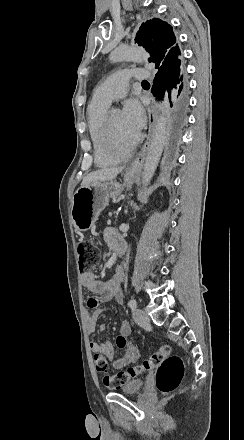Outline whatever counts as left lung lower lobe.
I'll use <instances>...</instances> for the list:
<instances>
[{"label": "left lung lower lobe", "instance_id": "1", "mask_svg": "<svg viewBox=\"0 0 244 440\" xmlns=\"http://www.w3.org/2000/svg\"><path fill=\"white\" fill-rule=\"evenodd\" d=\"M152 93L162 98L167 91L171 113L168 121L165 149L174 151L181 142L184 127L187 121L188 95L187 83L183 76V66L180 58L167 66L159 67L155 75Z\"/></svg>", "mask_w": 244, "mask_h": 440}]
</instances>
